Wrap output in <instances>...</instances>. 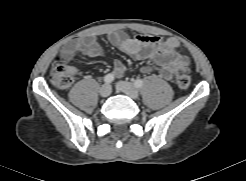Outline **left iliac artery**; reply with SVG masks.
Instances as JSON below:
<instances>
[{
  "instance_id": "1",
  "label": "left iliac artery",
  "mask_w": 246,
  "mask_h": 181,
  "mask_svg": "<svg viewBox=\"0 0 246 181\" xmlns=\"http://www.w3.org/2000/svg\"><path fill=\"white\" fill-rule=\"evenodd\" d=\"M134 85L137 87V88H141L143 86V80L142 79H137L135 82H134Z\"/></svg>"
}]
</instances>
